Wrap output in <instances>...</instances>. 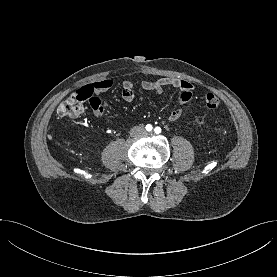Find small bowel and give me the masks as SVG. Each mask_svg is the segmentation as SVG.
I'll use <instances>...</instances> for the list:
<instances>
[{"label":"small bowel","mask_w":277,"mask_h":277,"mask_svg":"<svg viewBox=\"0 0 277 277\" xmlns=\"http://www.w3.org/2000/svg\"><path fill=\"white\" fill-rule=\"evenodd\" d=\"M113 85V80L102 79L80 89H87L91 91L92 98L90 100V105L94 115L97 118H103V106L99 95L108 91ZM140 85L144 90L155 92L158 95H161L166 87H172L180 90L181 93L177 98V106L167 117L169 121H175L182 116L185 105L191 100L195 92V86L192 83L187 80L173 77H163L154 81L143 80ZM121 94L122 98L126 102L133 101L135 98L134 84L130 81H124L122 84Z\"/></svg>","instance_id":"obj_1"}]
</instances>
